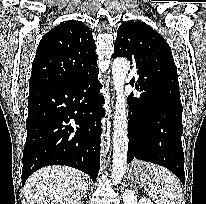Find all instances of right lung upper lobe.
Masks as SVG:
<instances>
[{
	"label": "right lung upper lobe",
	"mask_w": 206,
	"mask_h": 204,
	"mask_svg": "<svg viewBox=\"0 0 206 204\" xmlns=\"http://www.w3.org/2000/svg\"><path fill=\"white\" fill-rule=\"evenodd\" d=\"M95 47L91 30L81 21L70 20L54 27L37 48L30 91L77 80L97 67Z\"/></svg>",
	"instance_id": "obj_1"
}]
</instances>
